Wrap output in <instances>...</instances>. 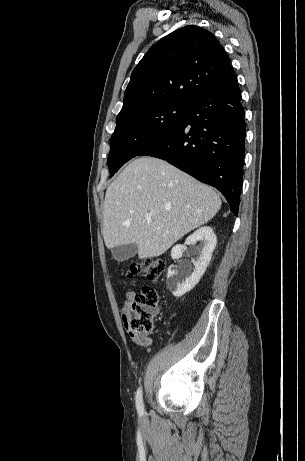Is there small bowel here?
Listing matches in <instances>:
<instances>
[{
	"label": "small bowel",
	"instance_id": "1",
	"mask_svg": "<svg viewBox=\"0 0 305 461\" xmlns=\"http://www.w3.org/2000/svg\"><path fill=\"white\" fill-rule=\"evenodd\" d=\"M135 296H136V293L134 290H129L125 293V299H124V302L121 308L122 321L130 335V338L135 344L139 346H148L151 344V339L147 335L135 334L131 332L128 328V323H129L128 310Z\"/></svg>",
	"mask_w": 305,
	"mask_h": 461
}]
</instances>
